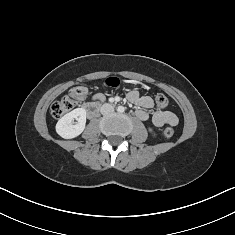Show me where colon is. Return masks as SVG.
<instances>
[{"instance_id":"obj_1","label":"colon","mask_w":235,"mask_h":235,"mask_svg":"<svg viewBox=\"0 0 235 235\" xmlns=\"http://www.w3.org/2000/svg\"><path fill=\"white\" fill-rule=\"evenodd\" d=\"M106 84L112 88H118L121 84L120 80L116 77H111L106 80ZM88 90L85 86L79 85L72 88L69 93L64 96L61 100L54 102L51 106V115L54 118H60L66 113L70 112L75 108L77 103L84 100L87 96ZM156 104L160 109H165L168 104V98L159 94L155 98ZM175 131L172 127H167L163 131V135L166 138H170L174 135Z\"/></svg>"}]
</instances>
